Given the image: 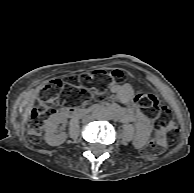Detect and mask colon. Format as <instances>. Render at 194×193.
Wrapping results in <instances>:
<instances>
[{
    "instance_id": "5ec220e1",
    "label": "colon",
    "mask_w": 194,
    "mask_h": 193,
    "mask_svg": "<svg viewBox=\"0 0 194 193\" xmlns=\"http://www.w3.org/2000/svg\"><path fill=\"white\" fill-rule=\"evenodd\" d=\"M125 75L124 70L114 68L110 71L96 69L90 74L70 76L66 82L60 79H51L44 86L37 105L33 108L28 124V136L32 142L40 140V133L45 119L61 104L69 103L70 99L81 97L100 98L108 85V80H119ZM95 83V87L89 88L85 84ZM65 90V95L62 92ZM136 102L144 109L145 114L151 119H159L153 139L144 148L147 156L161 154L168 143L176 135V127L171 119L169 108L161 104L152 94H140Z\"/></svg>"
}]
</instances>
